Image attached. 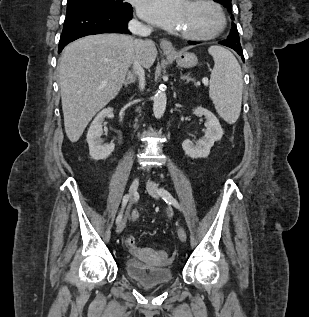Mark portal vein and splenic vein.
Returning a JSON list of instances; mask_svg holds the SVG:
<instances>
[{"mask_svg": "<svg viewBox=\"0 0 309 317\" xmlns=\"http://www.w3.org/2000/svg\"><path fill=\"white\" fill-rule=\"evenodd\" d=\"M202 82L207 86L208 85V80L206 79V78H204L203 80H202Z\"/></svg>", "mask_w": 309, "mask_h": 317, "instance_id": "obj_1", "label": "portal vein and splenic vein"}]
</instances>
